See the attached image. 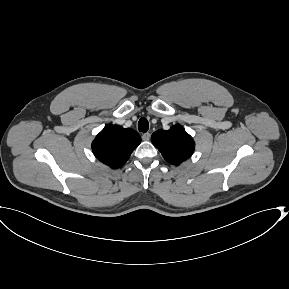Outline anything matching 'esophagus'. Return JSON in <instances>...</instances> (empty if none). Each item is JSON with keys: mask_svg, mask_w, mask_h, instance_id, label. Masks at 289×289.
<instances>
[{"mask_svg": "<svg viewBox=\"0 0 289 289\" xmlns=\"http://www.w3.org/2000/svg\"><path fill=\"white\" fill-rule=\"evenodd\" d=\"M150 137H151V134L150 133H144L143 135H142V139L144 140V141H149L150 140Z\"/></svg>", "mask_w": 289, "mask_h": 289, "instance_id": "esophagus-1", "label": "esophagus"}]
</instances>
